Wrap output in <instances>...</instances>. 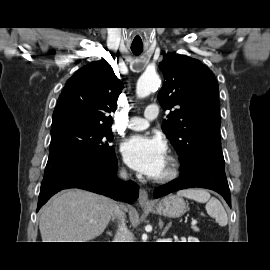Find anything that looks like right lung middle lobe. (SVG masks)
Masks as SVG:
<instances>
[{
  "instance_id": "dd1d6c3e",
  "label": "right lung middle lobe",
  "mask_w": 270,
  "mask_h": 270,
  "mask_svg": "<svg viewBox=\"0 0 270 270\" xmlns=\"http://www.w3.org/2000/svg\"><path fill=\"white\" fill-rule=\"evenodd\" d=\"M113 139L110 127L67 123L51 128L49 159L71 154L90 152L104 162L115 158L114 148L109 145Z\"/></svg>"
}]
</instances>
